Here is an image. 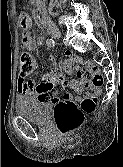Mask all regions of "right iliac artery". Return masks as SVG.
Instances as JSON below:
<instances>
[{
  "label": "right iliac artery",
  "instance_id": "obj_1",
  "mask_svg": "<svg viewBox=\"0 0 123 167\" xmlns=\"http://www.w3.org/2000/svg\"><path fill=\"white\" fill-rule=\"evenodd\" d=\"M46 44L48 47H54L55 46V41L52 38H49L46 40Z\"/></svg>",
  "mask_w": 123,
  "mask_h": 167
}]
</instances>
